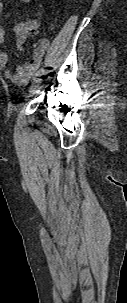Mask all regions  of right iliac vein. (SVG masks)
<instances>
[{"label":"right iliac vein","instance_id":"1","mask_svg":"<svg viewBox=\"0 0 127 303\" xmlns=\"http://www.w3.org/2000/svg\"><path fill=\"white\" fill-rule=\"evenodd\" d=\"M41 82H42V76H41V75H40V76H37V77L34 79L32 85H31L30 90H31V91L35 90V89L40 85Z\"/></svg>","mask_w":127,"mask_h":303}]
</instances>
